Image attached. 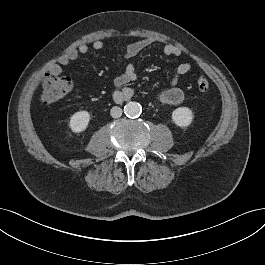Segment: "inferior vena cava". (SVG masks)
<instances>
[{"instance_id": "602c4592", "label": "inferior vena cava", "mask_w": 265, "mask_h": 265, "mask_svg": "<svg viewBox=\"0 0 265 265\" xmlns=\"http://www.w3.org/2000/svg\"><path fill=\"white\" fill-rule=\"evenodd\" d=\"M110 114L113 118H119L122 115V109L118 106L112 107Z\"/></svg>"}]
</instances>
